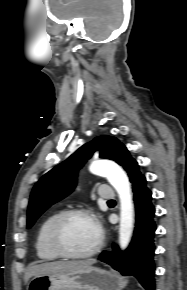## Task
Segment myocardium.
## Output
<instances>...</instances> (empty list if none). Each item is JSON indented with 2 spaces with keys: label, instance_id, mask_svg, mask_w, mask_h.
<instances>
[{
  "label": "myocardium",
  "instance_id": "1",
  "mask_svg": "<svg viewBox=\"0 0 187 290\" xmlns=\"http://www.w3.org/2000/svg\"><path fill=\"white\" fill-rule=\"evenodd\" d=\"M87 217L91 219L95 225L97 226L99 237L96 244L88 251L86 252H74L69 250L64 242H63V228L65 224L74 217ZM49 241L51 248L53 251L63 258H69V259H86L94 256L97 254L104 241V236L102 230L99 228V226L96 223L95 217L92 212L86 209H70L62 212L53 222L50 232H49Z\"/></svg>",
  "mask_w": 187,
  "mask_h": 290
}]
</instances>
